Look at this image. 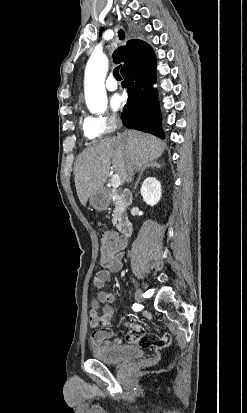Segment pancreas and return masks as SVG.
<instances>
[{
    "label": "pancreas",
    "instance_id": "cf45deb5",
    "mask_svg": "<svg viewBox=\"0 0 247 413\" xmlns=\"http://www.w3.org/2000/svg\"><path fill=\"white\" fill-rule=\"evenodd\" d=\"M109 196H110L113 204H118V202H117L118 192H116V190H110ZM113 213H114V215H113L112 223L115 227V225H118V221H120L121 215H120V211H118L117 207H115Z\"/></svg>",
    "mask_w": 247,
    "mask_h": 413
}]
</instances>
